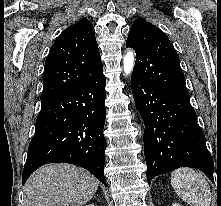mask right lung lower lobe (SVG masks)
Returning <instances> with one entry per match:
<instances>
[{
	"mask_svg": "<svg viewBox=\"0 0 221 206\" xmlns=\"http://www.w3.org/2000/svg\"><path fill=\"white\" fill-rule=\"evenodd\" d=\"M105 86L102 71L75 88L41 101L22 184L40 166L65 162L87 169L106 186Z\"/></svg>",
	"mask_w": 221,
	"mask_h": 206,
	"instance_id": "obj_1",
	"label": "right lung lower lobe"
}]
</instances>
